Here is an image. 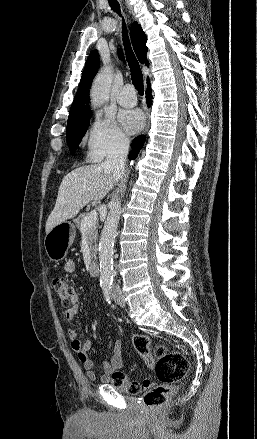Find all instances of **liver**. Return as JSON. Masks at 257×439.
Listing matches in <instances>:
<instances>
[{
	"mask_svg": "<svg viewBox=\"0 0 257 439\" xmlns=\"http://www.w3.org/2000/svg\"><path fill=\"white\" fill-rule=\"evenodd\" d=\"M117 181L104 163L74 169L62 180L55 207L46 222V234L57 224L75 217L92 200L100 201Z\"/></svg>",
	"mask_w": 257,
	"mask_h": 439,
	"instance_id": "obj_1",
	"label": "liver"
}]
</instances>
